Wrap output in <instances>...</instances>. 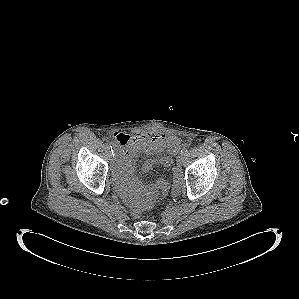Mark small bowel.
Here are the masks:
<instances>
[{
	"mask_svg": "<svg viewBox=\"0 0 299 299\" xmlns=\"http://www.w3.org/2000/svg\"><path fill=\"white\" fill-rule=\"evenodd\" d=\"M113 136L122 146L116 170V180L121 189L127 195L139 193L147 198H153L158 193L165 194L169 189L166 179H159L155 184L148 186H142L133 179L135 161L141 152L146 155H155L166 151L168 152L166 155L147 159L142 165V171L148 172L156 165L169 167L173 163L172 155L179 150L180 139L164 134L133 136L124 132H116Z\"/></svg>",
	"mask_w": 299,
	"mask_h": 299,
	"instance_id": "1",
	"label": "small bowel"
}]
</instances>
